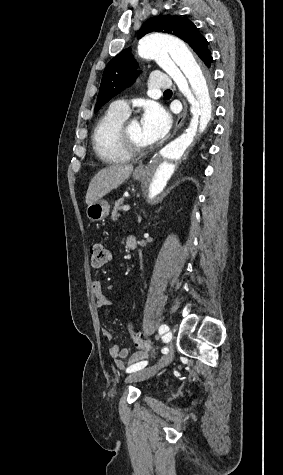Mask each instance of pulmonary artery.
Wrapping results in <instances>:
<instances>
[{
	"label": "pulmonary artery",
	"mask_w": 283,
	"mask_h": 475,
	"mask_svg": "<svg viewBox=\"0 0 283 475\" xmlns=\"http://www.w3.org/2000/svg\"><path fill=\"white\" fill-rule=\"evenodd\" d=\"M153 87L155 89H172L173 82L172 80H155L153 82ZM148 94L151 92L149 89L146 91ZM115 106L128 110V103L125 100H118L113 103Z\"/></svg>",
	"instance_id": "e3ab8cb5"
}]
</instances>
